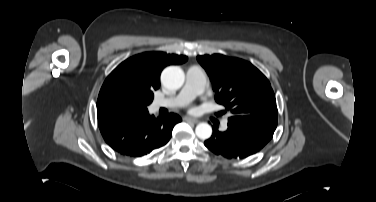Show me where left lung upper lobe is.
<instances>
[{
    "label": "left lung upper lobe",
    "instance_id": "left-lung-upper-lobe-1",
    "mask_svg": "<svg viewBox=\"0 0 376 202\" xmlns=\"http://www.w3.org/2000/svg\"><path fill=\"white\" fill-rule=\"evenodd\" d=\"M207 71L217 103L230 112L229 119L275 130L276 99L267 78L251 63L221 54L197 56Z\"/></svg>",
    "mask_w": 376,
    "mask_h": 202
}]
</instances>
